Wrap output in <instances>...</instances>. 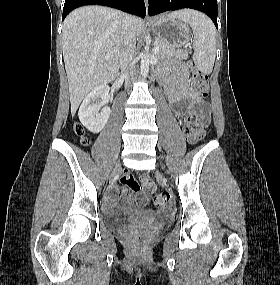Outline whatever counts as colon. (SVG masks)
<instances>
[{"instance_id": "colon-1", "label": "colon", "mask_w": 280, "mask_h": 285, "mask_svg": "<svg viewBox=\"0 0 280 285\" xmlns=\"http://www.w3.org/2000/svg\"><path fill=\"white\" fill-rule=\"evenodd\" d=\"M191 77L197 93L203 99L206 98L209 93L208 75L201 70L191 67ZM207 123L208 121L200 118L196 113H189L185 117L183 127L187 140L190 143H197L203 139ZM75 131L81 137L82 144L87 145L89 139L85 136L84 130L77 125ZM121 182L130 186L133 190L142 189L146 193H152L156 188L154 181L149 176H142L140 180H137L129 172H125L121 176ZM169 198L168 194L161 193L154 196L153 203L155 206L162 207L169 202Z\"/></svg>"}]
</instances>
